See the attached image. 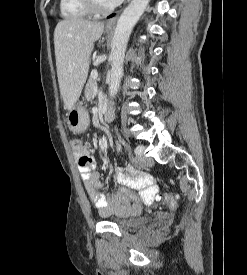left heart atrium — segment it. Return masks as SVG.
<instances>
[{"label":"left heart atrium","instance_id":"left-heart-atrium-1","mask_svg":"<svg viewBox=\"0 0 247 275\" xmlns=\"http://www.w3.org/2000/svg\"><path fill=\"white\" fill-rule=\"evenodd\" d=\"M123 0H112V3L113 5H117L119 4L120 2H122Z\"/></svg>","mask_w":247,"mask_h":275}]
</instances>
